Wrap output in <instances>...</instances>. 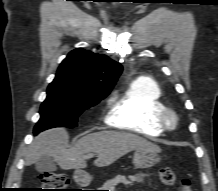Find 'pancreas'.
I'll list each match as a JSON object with an SVG mask.
<instances>
[{
    "label": "pancreas",
    "instance_id": "pancreas-1",
    "mask_svg": "<svg viewBox=\"0 0 218 191\" xmlns=\"http://www.w3.org/2000/svg\"><path fill=\"white\" fill-rule=\"evenodd\" d=\"M144 177H145L144 174H139L136 176H129L127 179L125 176L118 175L114 177L113 179L108 180L104 184L102 189H108L109 191H114L118 184L128 185V184H133L134 182H143Z\"/></svg>",
    "mask_w": 218,
    "mask_h": 191
}]
</instances>
